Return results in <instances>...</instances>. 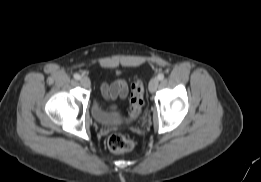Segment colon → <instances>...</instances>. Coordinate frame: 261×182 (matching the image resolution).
I'll return each instance as SVG.
<instances>
[{
	"label": "colon",
	"instance_id": "5ec220e1",
	"mask_svg": "<svg viewBox=\"0 0 261 182\" xmlns=\"http://www.w3.org/2000/svg\"><path fill=\"white\" fill-rule=\"evenodd\" d=\"M143 83L141 80H136L131 86L129 119L138 118L143 106ZM135 146L134 140L126 135L114 134L108 138L107 147L113 153H124L131 151Z\"/></svg>",
	"mask_w": 261,
	"mask_h": 182
}]
</instances>
